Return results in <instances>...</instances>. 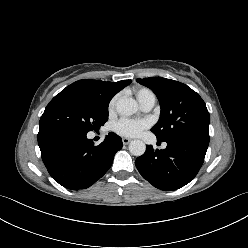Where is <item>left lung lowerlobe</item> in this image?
Listing matches in <instances>:
<instances>
[{
	"label": "left lung lower lobe",
	"instance_id": "obj_1",
	"mask_svg": "<svg viewBox=\"0 0 248 248\" xmlns=\"http://www.w3.org/2000/svg\"><path fill=\"white\" fill-rule=\"evenodd\" d=\"M207 135L178 136L166 140L167 147L147 146L135 165L148 182L161 190H176L188 184L200 170L209 145Z\"/></svg>",
	"mask_w": 248,
	"mask_h": 248
}]
</instances>
